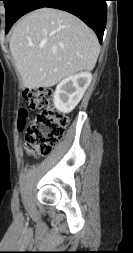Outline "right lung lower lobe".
I'll use <instances>...</instances> for the list:
<instances>
[{"label":"right lung lower lobe","instance_id":"right-lung-lower-lobe-1","mask_svg":"<svg viewBox=\"0 0 133 253\" xmlns=\"http://www.w3.org/2000/svg\"><path fill=\"white\" fill-rule=\"evenodd\" d=\"M107 0H24L18 19L24 14L42 7L65 10L85 22L94 30L100 42L106 26Z\"/></svg>","mask_w":133,"mask_h":253}]
</instances>
